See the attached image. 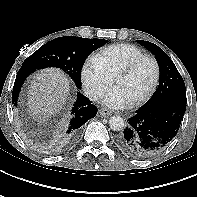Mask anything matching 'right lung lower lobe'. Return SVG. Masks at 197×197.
<instances>
[{"instance_id": "right-lung-lower-lobe-1", "label": "right lung lower lobe", "mask_w": 197, "mask_h": 197, "mask_svg": "<svg viewBox=\"0 0 197 197\" xmlns=\"http://www.w3.org/2000/svg\"><path fill=\"white\" fill-rule=\"evenodd\" d=\"M34 71L32 68L26 67H21L18 71L12 92V102L14 105L17 104L19 92L25 79ZM91 103L92 101L84 95L79 92L77 93V99L71 109L70 116L60 128V139L64 142L72 141L76 137L80 127L97 114V108Z\"/></svg>"}]
</instances>
